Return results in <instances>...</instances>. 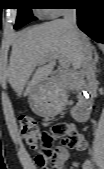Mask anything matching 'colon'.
Instances as JSON below:
<instances>
[{"label":"colon","mask_w":104,"mask_h":169,"mask_svg":"<svg viewBox=\"0 0 104 169\" xmlns=\"http://www.w3.org/2000/svg\"><path fill=\"white\" fill-rule=\"evenodd\" d=\"M19 132L30 148L39 151L35 160L41 169H55L57 156L51 149L54 140L63 139L70 147L78 141L77 131L68 123H58L41 131L36 120L26 115L19 118Z\"/></svg>","instance_id":"obj_1"}]
</instances>
